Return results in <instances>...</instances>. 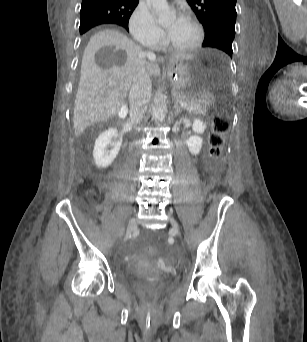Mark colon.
Instances as JSON below:
<instances>
[{
	"mask_svg": "<svg viewBox=\"0 0 307 342\" xmlns=\"http://www.w3.org/2000/svg\"><path fill=\"white\" fill-rule=\"evenodd\" d=\"M229 129V121L223 115H215L213 120V128L209 132V148L208 156L211 160H217L222 153V147L224 145V135ZM148 251L149 257H157L158 253L162 251L160 246H149L143 249Z\"/></svg>",
	"mask_w": 307,
	"mask_h": 342,
	"instance_id": "5ec220e1",
	"label": "colon"
}]
</instances>
